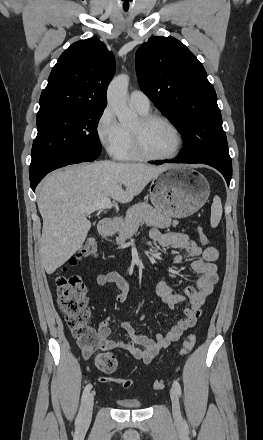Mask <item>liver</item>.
<instances>
[{
  "label": "liver",
  "mask_w": 263,
  "mask_h": 440,
  "mask_svg": "<svg viewBox=\"0 0 263 440\" xmlns=\"http://www.w3.org/2000/svg\"><path fill=\"white\" fill-rule=\"evenodd\" d=\"M171 167L97 161L48 175L37 188L43 219L40 253L46 273L52 274L82 247L91 229L84 207L107 197L128 203Z\"/></svg>",
  "instance_id": "obj_1"
}]
</instances>
